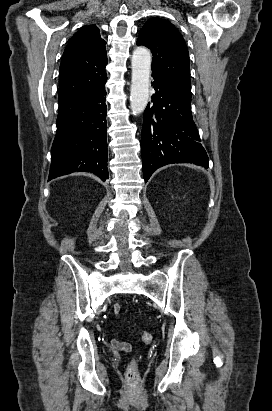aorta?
I'll return each instance as SVG.
<instances>
[{"label": "aorta", "instance_id": "762f6f07", "mask_svg": "<svg viewBox=\"0 0 272 411\" xmlns=\"http://www.w3.org/2000/svg\"><path fill=\"white\" fill-rule=\"evenodd\" d=\"M131 68L130 108L134 115H138L145 110L149 100L151 55L146 48L138 47L134 50Z\"/></svg>", "mask_w": 272, "mask_h": 411}]
</instances>
